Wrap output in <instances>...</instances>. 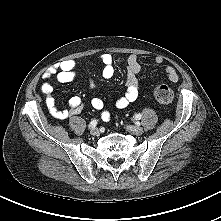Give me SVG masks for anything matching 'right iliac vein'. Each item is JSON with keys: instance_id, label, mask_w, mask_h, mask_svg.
Wrapping results in <instances>:
<instances>
[{"instance_id": "1", "label": "right iliac vein", "mask_w": 221, "mask_h": 221, "mask_svg": "<svg viewBox=\"0 0 221 221\" xmlns=\"http://www.w3.org/2000/svg\"><path fill=\"white\" fill-rule=\"evenodd\" d=\"M90 133L93 136H98L99 135V130L97 128H92Z\"/></svg>"}]
</instances>
